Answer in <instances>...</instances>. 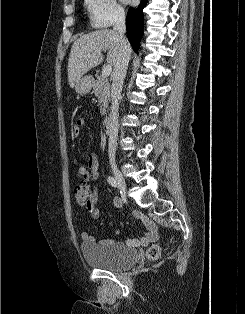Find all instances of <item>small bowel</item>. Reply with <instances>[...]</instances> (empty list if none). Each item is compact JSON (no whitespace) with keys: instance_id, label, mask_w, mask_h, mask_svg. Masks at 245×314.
<instances>
[{"instance_id":"small-bowel-1","label":"small bowel","mask_w":245,"mask_h":314,"mask_svg":"<svg viewBox=\"0 0 245 314\" xmlns=\"http://www.w3.org/2000/svg\"><path fill=\"white\" fill-rule=\"evenodd\" d=\"M84 121L82 119H78L74 125L73 128V134L79 135L80 128L83 126ZM98 166H99V160L95 153H89L86 156V165H79L78 166V174L82 182H89L94 181L98 177ZM92 196L90 202L87 204V209L90 214V216L97 220L100 218L101 213L100 210L96 207V203L98 200V189L96 187H93ZM115 206L120 207L121 202L120 200H115ZM134 217L137 219H140L144 222L147 233L143 235L139 239H128L126 241L127 245L129 246H147L152 242H155L158 239V228L157 225L149 220L145 215H143L141 212H135ZM81 238L83 241L87 243H95L96 238L92 234H90L87 231H83L81 233ZM108 242H114L112 239H106L101 241L102 243H108Z\"/></svg>"}]
</instances>
